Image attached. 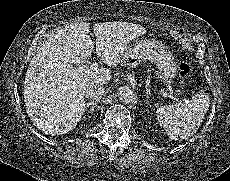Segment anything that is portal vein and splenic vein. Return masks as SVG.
<instances>
[{"instance_id": "obj_1", "label": "portal vein and splenic vein", "mask_w": 230, "mask_h": 181, "mask_svg": "<svg viewBox=\"0 0 230 181\" xmlns=\"http://www.w3.org/2000/svg\"><path fill=\"white\" fill-rule=\"evenodd\" d=\"M97 67H98V64H97V63H93V64L90 66V69L93 70V69H96ZM81 70H82V71H85V72H89V68H87V66L81 67ZM163 95H166V94L163 93Z\"/></svg>"}]
</instances>
